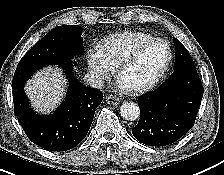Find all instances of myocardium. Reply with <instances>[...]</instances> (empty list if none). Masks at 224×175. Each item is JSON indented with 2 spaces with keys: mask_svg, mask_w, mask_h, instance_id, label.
Instances as JSON below:
<instances>
[{
  "mask_svg": "<svg viewBox=\"0 0 224 175\" xmlns=\"http://www.w3.org/2000/svg\"><path fill=\"white\" fill-rule=\"evenodd\" d=\"M157 43H162L167 48L168 55H167V58H166V60L163 64V66L156 73V75L153 78H151L149 81H147L146 83H143V84L135 86V87L126 88L128 93H130V94H140V93H144V92L152 89L161 80V78L165 75V73L167 72V70H168V68L171 64L172 57H173L171 46L164 39L154 38L152 40H149V41L143 43L138 48H136L127 58H125L117 66V71H116L117 79H120L123 72L126 69H128L130 66H132L147 48H149L150 46H152L154 44H157Z\"/></svg>",
  "mask_w": 224,
  "mask_h": 175,
  "instance_id": "1",
  "label": "myocardium"
}]
</instances>
